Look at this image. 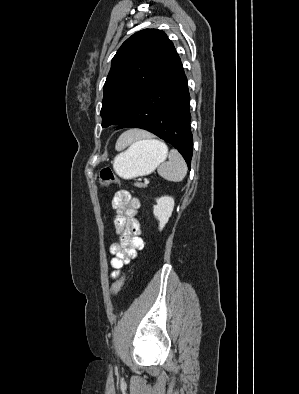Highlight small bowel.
I'll return each instance as SVG.
<instances>
[{"instance_id":"c3829d8e","label":"small bowel","mask_w":299,"mask_h":394,"mask_svg":"<svg viewBox=\"0 0 299 394\" xmlns=\"http://www.w3.org/2000/svg\"><path fill=\"white\" fill-rule=\"evenodd\" d=\"M112 207L115 211L113 224L119 240L111 243L109 250L113 255L110 263L115 270L111 277L116 278L123 266L143 249L144 241L137 219L140 201L128 191L119 190L112 199Z\"/></svg>"}]
</instances>
